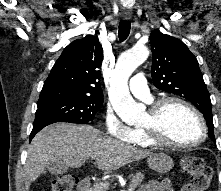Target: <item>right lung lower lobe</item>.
Returning <instances> with one entry per match:
<instances>
[{"label": "right lung lower lobe", "mask_w": 221, "mask_h": 191, "mask_svg": "<svg viewBox=\"0 0 221 191\" xmlns=\"http://www.w3.org/2000/svg\"><path fill=\"white\" fill-rule=\"evenodd\" d=\"M58 122L55 118H53L52 116L46 114V113H38L35 116V121L33 124V130L30 134V141L32 140V138L35 136V134L37 132H39L42 128H44L45 126Z\"/></svg>", "instance_id": "right-lung-lower-lobe-1"}]
</instances>
